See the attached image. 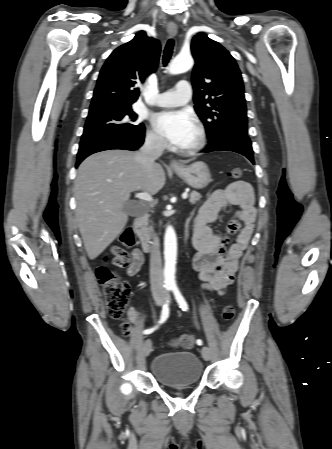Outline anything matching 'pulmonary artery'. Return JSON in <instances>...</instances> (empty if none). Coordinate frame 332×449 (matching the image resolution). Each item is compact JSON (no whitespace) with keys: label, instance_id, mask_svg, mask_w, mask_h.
Listing matches in <instances>:
<instances>
[{"label":"pulmonary artery","instance_id":"pulmonary-artery-1","mask_svg":"<svg viewBox=\"0 0 332 449\" xmlns=\"http://www.w3.org/2000/svg\"><path fill=\"white\" fill-rule=\"evenodd\" d=\"M191 94V84L186 80H181L175 85L173 89L159 94L151 102L152 104L159 107L181 106L188 102Z\"/></svg>","mask_w":332,"mask_h":449}]
</instances>
